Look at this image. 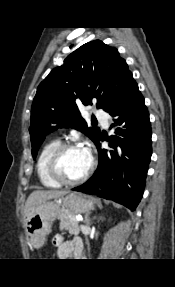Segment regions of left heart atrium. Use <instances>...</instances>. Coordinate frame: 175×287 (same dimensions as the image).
I'll list each match as a JSON object with an SVG mask.
<instances>
[{"label":"left heart atrium","instance_id":"left-heart-atrium-1","mask_svg":"<svg viewBox=\"0 0 175 287\" xmlns=\"http://www.w3.org/2000/svg\"><path fill=\"white\" fill-rule=\"evenodd\" d=\"M84 151H85L89 156H91V152H90V150H89L88 148H84Z\"/></svg>","mask_w":175,"mask_h":287}]
</instances>
